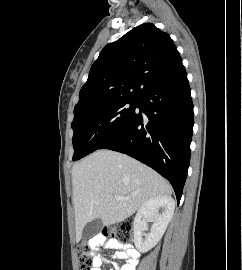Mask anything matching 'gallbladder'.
Returning a JSON list of instances; mask_svg holds the SVG:
<instances>
[{
	"label": "gallbladder",
	"instance_id": "1",
	"mask_svg": "<svg viewBox=\"0 0 242 270\" xmlns=\"http://www.w3.org/2000/svg\"><path fill=\"white\" fill-rule=\"evenodd\" d=\"M103 227V222L100 218L94 219L88 222L82 232L83 238L88 239L95 235L96 233L100 232Z\"/></svg>",
	"mask_w": 242,
	"mask_h": 270
}]
</instances>
